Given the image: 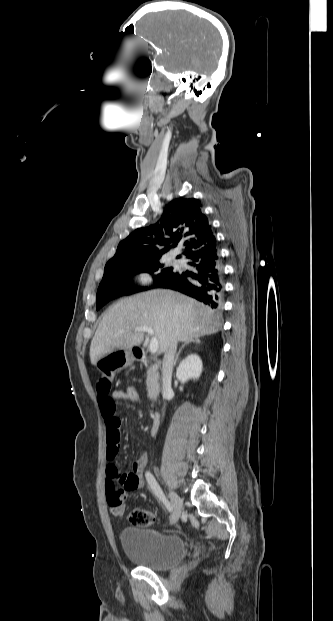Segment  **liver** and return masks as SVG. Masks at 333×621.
Returning <instances> with one entry per match:
<instances>
[{
	"instance_id": "liver-1",
	"label": "liver",
	"mask_w": 333,
	"mask_h": 621,
	"mask_svg": "<svg viewBox=\"0 0 333 621\" xmlns=\"http://www.w3.org/2000/svg\"><path fill=\"white\" fill-rule=\"evenodd\" d=\"M220 315L196 300L170 290H152L124 298L104 314L90 345L91 364L119 349H132L144 340L137 326L152 327L161 352L174 338L187 342L217 333Z\"/></svg>"
}]
</instances>
